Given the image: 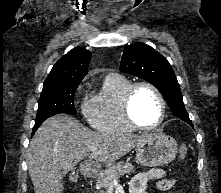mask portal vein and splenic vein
<instances>
[{"mask_svg": "<svg viewBox=\"0 0 221 193\" xmlns=\"http://www.w3.org/2000/svg\"><path fill=\"white\" fill-rule=\"evenodd\" d=\"M91 151H96V148H91Z\"/></svg>", "mask_w": 221, "mask_h": 193, "instance_id": "18ae733b", "label": "portal vein and splenic vein"}]
</instances>
